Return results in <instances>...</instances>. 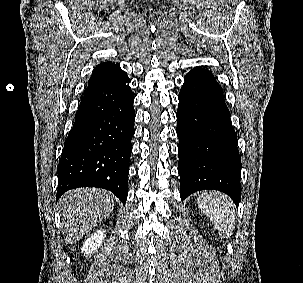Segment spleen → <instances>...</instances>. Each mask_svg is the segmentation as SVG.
Wrapping results in <instances>:
<instances>
[{"mask_svg": "<svg viewBox=\"0 0 303 283\" xmlns=\"http://www.w3.org/2000/svg\"><path fill=\"white\" fill-rule=\"evenodd\" d=\"M198 207L206 214L218 233L228 238L235 229V209L227 196L216 191H205L197 198Z\"/></svg>", "mask_w": 303, "mask_h": 283, "instance_id": "spleen-1", "label": "spleen"}]
</instances>
